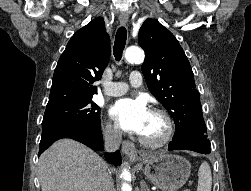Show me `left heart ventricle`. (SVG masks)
I'll return each mask as SVG.
<instances>
[{
	"instance_id": "1",
	"label": "left heart ventricle",
	"mask_w": 251,
	"mask_h": 191,
	"mask_svg": "<svg viewBox=\"0 0 251 191\" xmlns=\"http://www.w3.org/2000/svg\"><path fill=\"white\" fill-rule=\"evenodd\" d=\"M164 132L165 126L163 120L158 116L151 114L142 135L149 140L158 141L162 138Z\"/></svg>"
}]
</instances>
